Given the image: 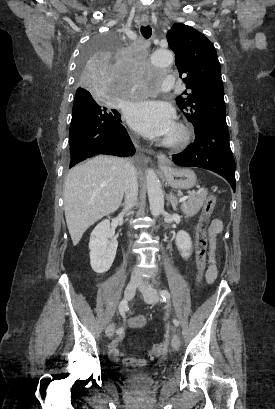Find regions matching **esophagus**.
Returning a JSON list of instances; mask_svg holds the SVG:
<instances>
[{"label":"esophagus","mask_w":275,"mask_h":409,"mask_svg":"<svg viewBox=\"0 0 275 409\" xmlns=\"http://www.w3.org/2000/svg\"><path fill=\"white\" fill-rule=\"evenodd\" d=\"M148 23H149L148 17H141V24L142 25H148ZM161 159H167L166 155L164 153H162V152L158 154V160L160 161ZM143 160H144V162L148 161L146 156H143Z\"/></svg>","instance_id":"1"}]
</instances>
